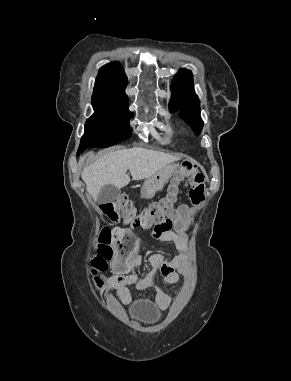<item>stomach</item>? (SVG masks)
Here are the masks:
<instances>
[{"mask_svg": "<svg viewBox=\"0 0 291 381\" xmlns=\"http://www.w3.org/2000/svg\"><path fill=\"white\" fill-rule=\"evenodd\" d=\"M180 167L181 165L179 164L167 165L151 177L145 179L141 188L142 197L146 199L153 198L156 192L161 191L173 175L180 173Z\"/></svg>", "mask_w": 291, "mask_h": 381, "instance_id": "1", "label": "stomach"}]
</instances>
